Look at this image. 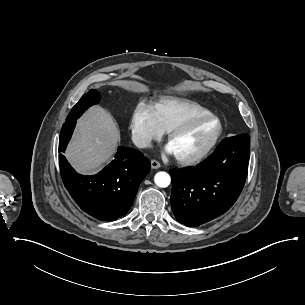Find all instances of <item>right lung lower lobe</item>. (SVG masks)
Masks as SVG:
<instances>
[{
	"label": "right lung lower lobe",
	"instance_id": "right-lung-lower-lobe-1",
	"mask_svg": "<svg viewBox=\"0 0 305 305\" xmlns=\"http://www.w3.org/2000/svg\"><path fill=\"white\" fill-rule=\"evenodd\" d=\"M76 120H66L60 133L59 165L63 183L79 207L89 215L108 221L122 217L131 208L140 183L149 173L150 161L138 150L119 147L115 160L98 174H78L62 154Z\"/></svg>",
	"mask_w": 305,
	"mask_h": 305
}]
</instances>
